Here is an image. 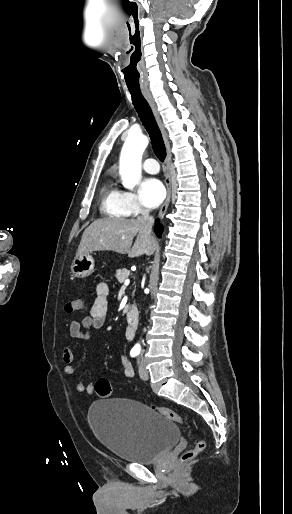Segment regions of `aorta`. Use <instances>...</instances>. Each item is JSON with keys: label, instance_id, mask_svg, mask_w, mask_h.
<instances>
[{"label": "aorta", "instance_id": "aorta-1", "mask_svg": "<svg viewBox=\"0 0 292 514\" xmlns=\"http://www.w3.org/2000/svg\"><path fill=\"white\" fill-rule=\"evenodd\" d=\"M147 144L146 136L129 134L123 146L120 158V176L124 188H128V190H133L141 178V158Z\"/></svg>", "mask_w": 292, "mask_h": 514}]
</instances>
